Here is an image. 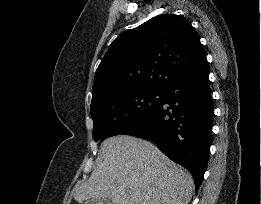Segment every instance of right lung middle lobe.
Instances as JSON below:
<instances>
[{
  "instance_id": "dd1d6c3e",
  "label": "right lung middle lobe",
  "mask_w": 261,
  "mask_h": 204,
  "mask_svg": "<svg viewBox=\"0 0 261 204\" xmlns=\"http://www.w3.org/2000/svg\"><path fill=\"white\" fill-rule=\"evenodd\" d=\"M163 91L147 89L122 90L111 93L91 106L94 122L93 139H107L121 134L143 118L162 99Z\"/></svg>"
}]
</instances>
